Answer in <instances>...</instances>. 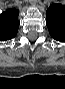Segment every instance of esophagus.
<instances>
[{
    "mask_svg": "<svg viewBox=\"0 0 65 89\" xmlns=\"http://www.w3.org/2000/svg\"><path fill=\"white\" fill-rule=\"evenodd\" d=\"M30 4L35 5V4H37V1L36 0H30Z\"/></svg>",
    "mask_w": 65,
    "mask_h": 89,
    "instance_id": "34e87169",
    "label": "esophagus"
}]
</instances>
